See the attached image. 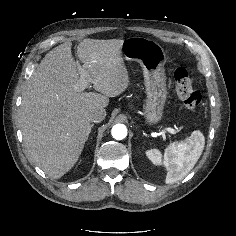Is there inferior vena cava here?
Returning a JSON list of instances; mask_svg holds the SVG:
<instances>
[{"label": "inferior vena cava", "instance_id": "602c4592", "mask_svg": "<svg viewBox=\"0 0 236 236\" xmlns=\"http://www.w3.org/2000/svg\"><path fill=\"white\" fill-rule=\"evenodd\" d=\"M106 111L103 108H94L88 113V119L92 122H100L104 120Z\"/></svg>", "mask_w": 236, "mask_h": 236}]
</instances>
